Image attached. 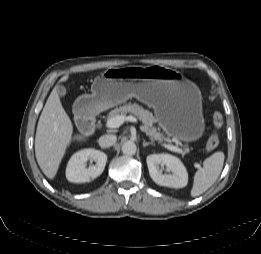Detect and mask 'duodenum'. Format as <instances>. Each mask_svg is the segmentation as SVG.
Masks as SVG:
<instances>
[{
	"label": "duodenum",
	"mask_w": 261,
	"mask_h": 254,
	"mask_svg": "<svg viewBox=\"0 0 261 254\" xmlns=\"http://www.w3.org/2000/svg\"><path fill=\"white\" fill-rule=\"evenodd\" d=\"M96 115L85 107L78 112V125L82 130H91L96 123Z\"/></svg>",
	"instance_id": "obj_1"
}]
</instances>
